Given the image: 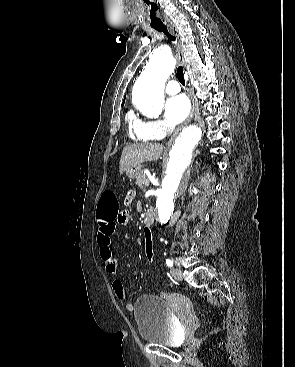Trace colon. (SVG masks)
Masks as SVG:
<instances>
[{
    "instance_id": "1",
    "label": "colon",
    "mask_w": 295,
    "mask_h": 367,
    "mask_svg": "<svg viewBox=\"0 0 295 367\" xmlns=\"http://www.w3.org/2000/svg\"><path fill=\"white\" fill-rule=\"evenodd\" d=\"M126 204H130V198L125 199ZM119 203L116 195L111 191H106L102 194L99 206H98V219L109 221V220H117L118 222V213ZM128 217V215H127ZM142 234H141V243L142 246H145V253L148 260H152L154 249H153V239H152V229L150 224L142 225Z\"/></svg>"
}]
</instances>
